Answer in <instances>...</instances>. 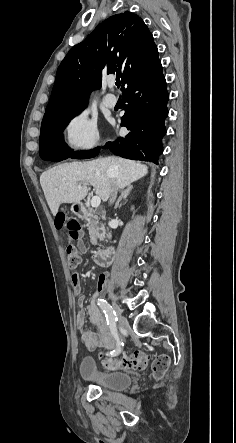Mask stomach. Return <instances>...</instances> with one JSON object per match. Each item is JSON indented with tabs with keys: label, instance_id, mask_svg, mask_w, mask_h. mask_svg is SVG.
I'll return each mask as SVG.
<instances>
[{
	"label": "stomach",
	"instance_id": "1",
	"mask_svg": "<svg viewBox=\"0 0 236 443\" xmlns=\"http://www.w3.org/2000/svg\"><path fill=\"white\" fill-rule=\"evenodd\" d=\"M80 210L79 204L75 203L71 206V211L75 214H77Z\"/></svg>",
	"mask_w": 236,
	"mask_h": 443
}]
</instances>
